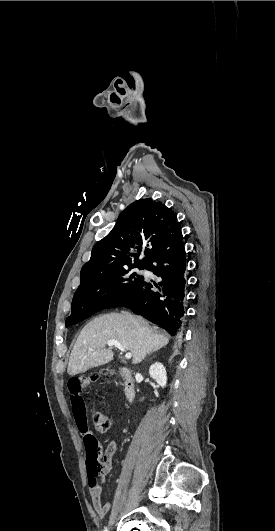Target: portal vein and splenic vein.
I'll return each mask as SVG.
<instances>
[{"label": "portal vein and splenic vein", "instance_id": "obj_1", "mask_svg": "<svg viewBox=\"0 0 275 531\" xmlns=\"http://www.w3.org/2000/svg\"><path fill=\"white\" fill-rule=\"evenodd\" d=\"M107 345L109 349L116 347V349H119V351H122V353L125 351L124 347H122L121 343H118V341H107ZM90 351H94V349H90ZM125 357L126 359H131L132 355L131 353H126Z\"/></svg>", "mask_w": 275, "mask_h": 531}]
</instances>
